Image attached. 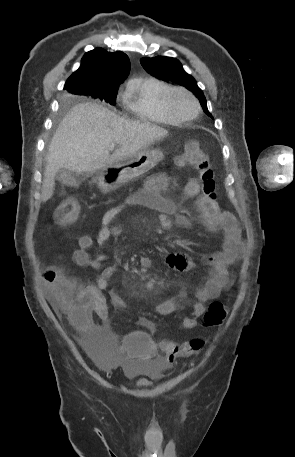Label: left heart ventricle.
I'll return each instance as SVG.
<instances>
[{"mask_svg":"<svg viewBox=\"0 0 295 457\" xmlns=\"http://www.w3.org/2000/svg\"><path fill=\"white\" fill-rule=\"evenodd\" d=\"M175 110L182 116H192L195 112L193 101L184 94H177L173 99Z\"/></svg>","mask_w":295,"mask_h":457,"instance_id":"b2bd125f","label":"left heart ventricle"}]
</instances>
